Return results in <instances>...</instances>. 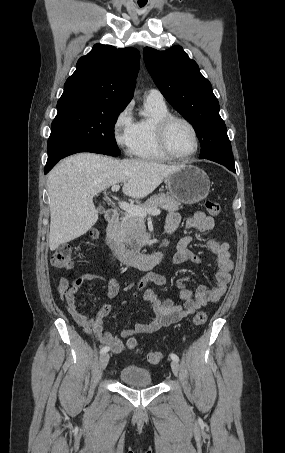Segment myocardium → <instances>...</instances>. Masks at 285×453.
Instances as JSON below:
<instances>
[{
  "mask_svg": "<svg viewBox=\"0 0 285 453\" xmlns=\"http://www.w3.org/2000/svg\"><path fill=\"white\" fill-rule=\"evenodd\" d=\"M174 122H182V123L186 124L193 133L194 140H195V147H194L193 151L190 152L189 154L179 155V154H176L175 152H173L172 149L170 148L168 136H169L170 127L172 126V124ZM156 138H157V143H158L161 151L167 157H169L171 159H175V160H186V159L193 157L198 152L199 147H200L199 134H198L196 127L193 125V123L184 117L173 115V114H169V115L161 118L157 122Z\"/></svg>",
  "mask_w": 285,
  "mask_h": 453,
  "instance_id": "obj_1",
  "label": "myocardium"
}]
</instances>
